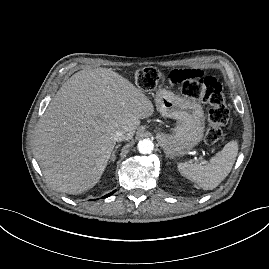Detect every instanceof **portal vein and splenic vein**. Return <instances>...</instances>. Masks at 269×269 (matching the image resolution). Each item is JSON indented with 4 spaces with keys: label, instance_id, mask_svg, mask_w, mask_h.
Returning <instances> with one entry per match:
<instances>
[{
    "label": "portal vein and splenic vein",
    "instance_id": "portal-vein-and-splenic-vein-1",
    "mask_svg": "<svg viewBox=\"0 0 269 269\" xmlns=\"http://www.w3.org/2000/svg\"><path fill=\"white\" fill-rule=\"evenodd\" d=\"M199 159H200V161H201V163H202V164H204V163H205V161L203 160V158H202V157H200Z\"/></svg>",
    "mask_w": 269,
    "mask_h": 269
}]
</instances>
